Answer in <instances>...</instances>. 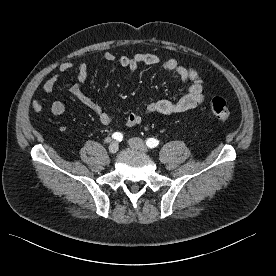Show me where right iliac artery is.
<instances>
[{
  "label": "right iliac artery",
  "instance_id": "1",
  "mask_svg": "<svg viewBox=\"0 0 276 276\" xmlns=\"http://www.w3.org/2000/svg\"><path fill=\"white\" fill-rule=\"evenodd\" d=\"M112 138L117 140V141H122L123 139V134L120 132H115L112 134Z\"/></svg>",
  "mask_w": 276,
  "mask_h": 276
}]
</instances>
